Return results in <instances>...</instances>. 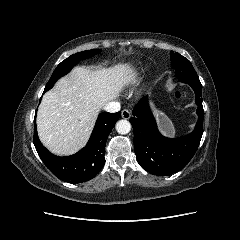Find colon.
Wrapping results in <instances>:
<instances>
[{
  "mask_svg": "<svg viewBox=\"0 0 240 240\" xmlns=\"http://www.w3.org/2000/svg\"><path fill=\"white\" fill-rule=\"evenodd\" d=\"M176 96L179 97V94L177 93Z\"/></svg>",
  "mask_w": 240,
  "mask_h": 240,
  "instance_id": "5ec220e1",
  "label": "colon"
}]
</instances>
